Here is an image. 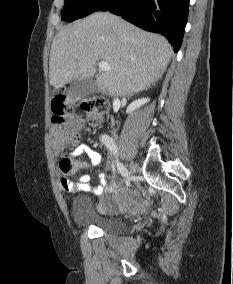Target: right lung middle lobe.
<instances>
[{
	"mask_svg": "<svg viewBox=\"0 0 233 284\" xmlns=\"http://www.w3.org/2000/svg\"><path fill=\"white\" fill-rule=\"evenodd\" d=\"M106 0H65L62 20L72 22L95 12Z\"/></svg>",
	"mask_w": 233,
	"mask_h": 284,
	"instance_id": "1",
	"label": "right lung middle lobe"
}]
</instances>
